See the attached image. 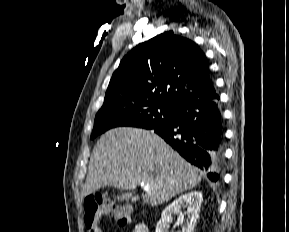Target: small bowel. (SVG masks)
<instances>
[{
	"label": "small bowel",
	"mask_w": 289,
	"mask_h": 232,
	"mask_svg": "<svg viewBox=\"0 0 289 232\" xmlns=\"http://www.w3.org/2000/svg\"><path fill=\"white\" fill-rule=\"evenodd\" d=\"M132 232H149L148 227L143 223H138L134 226Z\"/></svg>",
	"instance_id": "c3829d8e"
}]
</instances>
